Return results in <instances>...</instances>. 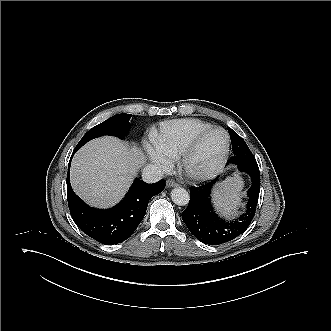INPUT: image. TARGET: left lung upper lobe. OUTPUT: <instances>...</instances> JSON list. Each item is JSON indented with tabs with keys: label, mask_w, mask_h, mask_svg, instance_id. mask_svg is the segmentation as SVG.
Returning <instances> with one entry per match:
<instances>
[{
	"label": "left lung upper lobe",
	"mask_w": 331,
	"mask_h": 331,
	"mask_svg": "<svg viewBox=\"0 0 331 331\" xmlns=\"http://www.w3.org/2000/svg\"><path fill=\"white\" fill-rule=\"evenodd\" d=\"M231 140H235L236 147L232 148L234 155L229 159V163H236L248 166H258L255 157L251 153L245 141L228 127Z\"/></svg>",
	"instance_id": "5c2ea615"
}]
</instances>
